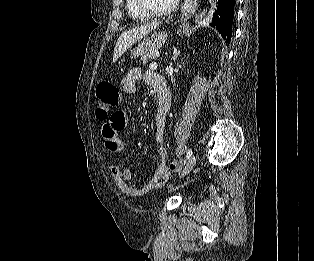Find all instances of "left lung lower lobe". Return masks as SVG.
I'll return each mask as SVG.
<instances>
[{"instance_id": "1", "label": "left lung lower lobe", "mask_w": 314, "mask_h": 261, "mask_svg": "<svg viewBox=\"0 0 314 261\" xmlns=\"http://www.w3.org/2000/svg\"><path fill=\"white\" fill-rule=\"evenodd\" d=\"M235 14V0H218V6L210 24L218 30L226 43L232 36V25Z\"/></svg>"}]
</instances>
